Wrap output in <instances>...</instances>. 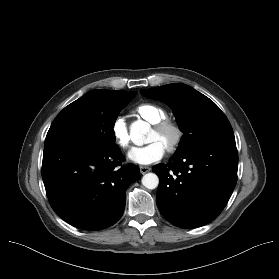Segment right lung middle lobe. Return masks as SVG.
I'll return each mask as SVG.
<instances>
[{"mask_svg": "<svg viewBox=\"0 0 279 279\" xmlns=\"http://www.w3.org/2000/svg\"><path fill=\"white\" fill-rule=\"evenodd\" d=\"M133 97L86 93L57 115L47 133L44 148L67 142L100 150L115 147V120Z\"/></svg>", "mask_w": 279, "mask_h": 279, "instance_id": "1", "label": "right lung middle lobe"}]
</instances>
